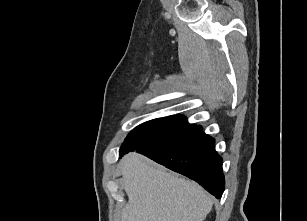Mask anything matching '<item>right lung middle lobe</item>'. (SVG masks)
<instances>
[{
    "instance_id": "right-lung-middle-lobe-1",
    "label": "right lung middle lobe",
    "mask_w": 307,
    "mask_h": 221,
    "mask_svg": "<svg viewBox=\"0 0 307 221\" xmlns=\"http://www.w3.org/2000/svg\"><path fill=\"white\" fill-rule=\"evenodd\" d=\"M195 125L183 115H174L147 121L133 129L120 148V155L131 150L143 149L173 139Z\"/></svg>"
}]
</instances>
